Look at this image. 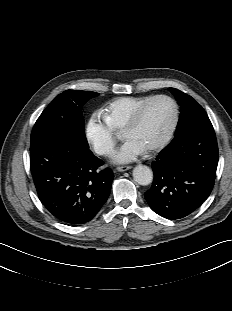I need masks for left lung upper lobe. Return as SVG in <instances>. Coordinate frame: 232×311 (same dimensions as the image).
<instances>
[{
    "label": "left lung upper lobe",
    "mask_w": 232,
    "mask_h": 311,
    "mask_svg": "<svg viewBox=\"0 0 232 311\" xmlns=\"http://www.w3.org/2000/svg\"><path fill=\"white\" fill-rule=\"evenodd\" d=\"M181 107L176 132L196 122L208 119L205 110L191 96L175 88H169Z\"/></svg>",
    "instance_id": "obj_1"
}]
</instances>
